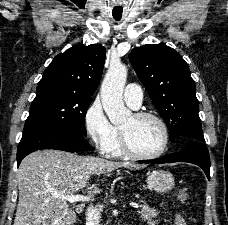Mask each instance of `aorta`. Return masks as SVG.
I'll use <instances>...</instances> for the list:
<instances>
[{"mask_svg": "<svg viewBox=\"0 0 228 225\" xmlns=\"http://www.w3.org/2000/svg\"><path fill=\"white\" fill-rule=\"evenodd\" d=\"M128 68L125 64L110 62L101 86V100L112 125H123L132 113L126 108L122 98Z\"/></svg>", "mask_w": 228, "mask_h": 225, "instance_id": "762f6f07", "label": "aorta"}]
</instances>
